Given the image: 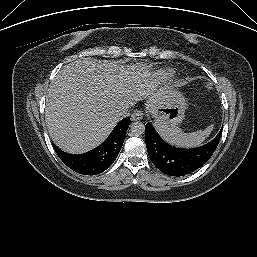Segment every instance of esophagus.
<instances>
[{
    "mask_svg": "<svg viewBox=\"0 0 257 257\" xmlns=\"http://www.w3.org/2000/svg\"><path fill=\"white\" fill-rule=\"evenodd\" d=\"M143 118V113L140 110H135L131 115L132 121L141 120Z\"/></svg>",
    "mask_w": 257,
    "mask_h": 257,
    "instance_id": "1",
    "label": "esophagus"
}]
</instances>
